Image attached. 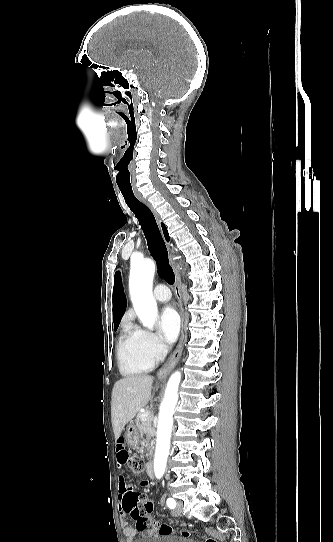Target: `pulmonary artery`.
Listing matches in <instances>:
<instances>
[{"label":"pulmonary artery","instance_id":"obj_1","mask_svg":"<svg viewBox=\"0 0 333 542\" xmlns=\"http://www.w3.org/2000/svg\"><path fill=\"white\" fill-rule=\"evenodd\" d=\"M155 295V299L159 303H166L168 302L172 294L170 291H168V287L165 284H159L155 287V292L153 293ZM189 297V296H188Z\"/></svg>","mask_w":333,"mask_h":542}]
</instances>
